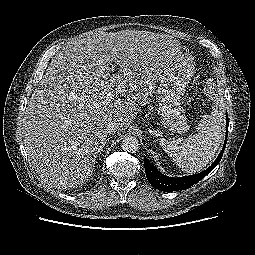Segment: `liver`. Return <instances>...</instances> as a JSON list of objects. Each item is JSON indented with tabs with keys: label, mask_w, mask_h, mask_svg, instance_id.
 <instances>
[{
	"label": "liver",
	"mask_w": 255,
	"mask_h": 255,
	"mask_svg": "<svg viewBox=\"0 0 255 255\" xmlns=\"http://www.w3.org/2000/svg\"><path fill=\"white\" fill-rule=\"evenodd\" d=\"M180 53L171 35L128 29L90 32L62 47L23 119L25 149L43 182L61 190L82 185L107 142V123L127 129ZM112 89L122 98L108 101Z\"/></svg>",
	"instance_id": "6515ba94"
}]
</instances>
